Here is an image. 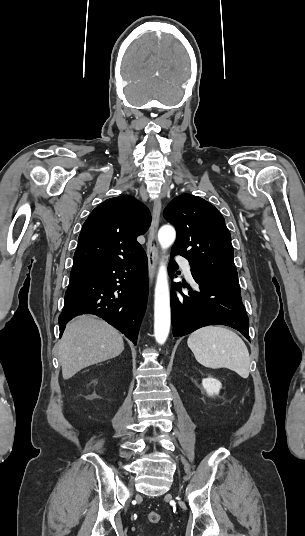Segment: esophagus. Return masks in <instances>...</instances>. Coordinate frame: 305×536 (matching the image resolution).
Returning <instances> with one entry per match:
<instances>
[{
    "instance_id": "1",
    "label": "esophagus",
    "mask_w": 305,
    "mask_h": 536,
    "mask_svg": "<svg viewBox=\"0 0 305 536\" xmlns=\"http://www.w3.org/2000/svg\"><path fill=\"white\" fill-rule=\"evenodd\" d=\"M162 203L160 198H156L153 206L152 211V221L151 226L149 229V236L147 241V259H148V267H149V281L150 284H153L158 259H159V246H158V240H157V231H158V225L160 220V213H161Z\"/></svg>"
}]
</instances>
